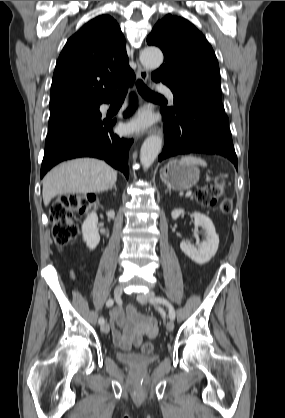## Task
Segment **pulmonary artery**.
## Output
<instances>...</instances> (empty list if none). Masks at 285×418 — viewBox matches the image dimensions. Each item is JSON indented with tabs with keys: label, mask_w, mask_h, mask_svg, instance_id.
I'll return each instance as SVG.
<instances>
[{
	"label": "pulmonary artery",
	"mask_w": 285,
	"mask_h": 418,
	"mask_svg": "<svg viewBox=\"0 0 285 418\" xmlns=\"http://www.w3.org/2000/svg\"><path fill=\"white\" fill-rule=\"evenodd\" d=\"M157 89H158V91L165 94L168 98H170V99L174 98V92L169 87L159 86Z\"/></svg>",
	"instance_id": "obj_1"
}]
</instances>
